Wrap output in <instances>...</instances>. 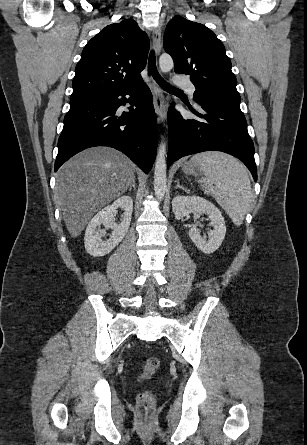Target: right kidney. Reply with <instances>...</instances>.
I'll return each instance as SVG.
<instances>
[{
  "mask_svg": "<svg viewBox=\"0 0 307 445\" xmlns=\"http://www.w3.org/2000/svg\"><path fill=\"white\" fill-rule=\"evenodd\" d=\"M123 208L122 220L120 225L114 223V212L116 208ZM133 208V198L131 196H120L114 200L113 204H108L102 210H99L85 231L84 245L87 253L92 257H104L111 253L122 239H124L129 227ZM100 225H104L105 229H113L110 239L102 241L103 237Z\"/></svg>",
  "mask_w": 307,
  "mask_h": 445,
  "instance_id": "right-kidney-1",
  "label": "right kidney"
}]
</instances>
